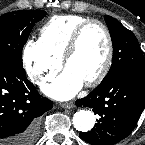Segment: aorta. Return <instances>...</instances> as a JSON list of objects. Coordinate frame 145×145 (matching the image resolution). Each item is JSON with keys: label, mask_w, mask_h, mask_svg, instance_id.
Wrapping results in <instances>:
<instances>
[{"label": "aorta", "mask_w": 145, "mask_h": 145, "mask_svg": "<svg viewBox=\"0 0 145 145\" xmlns=\"http://www.w3.org/2000/svg\"><path fill=\"white\" fill-rule=\"evenodd\" d=\"M72 122L76 130L88 132L95 124V115L89 110H79L73 115Z\"/></svg>", "instance_id": "obj_1"}]
</instances>
